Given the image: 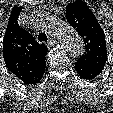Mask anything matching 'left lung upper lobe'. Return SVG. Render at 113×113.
I'll return each instance as SVG.
<instances>
[{
    "label": "left lung upper lobe",
    "mask_w": 113,
    "mask_h": 113,
    "mask_svg": "<svg viewBox=\"0 0 113 113\" xmlns=\"http://www.w3.org/2000/svg\"><path fill=\"white\" fill-rule=\"evenodd\" d=\"M66 19L83 37L86 52L77 62L98 70H103L107 61L105 34L96 17L82 0L69 3Z\"/></svg>",
    "instance_id": "left-lung-upper-lobe-1"
}]
</instances>
